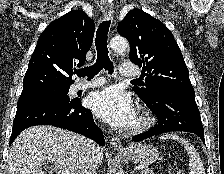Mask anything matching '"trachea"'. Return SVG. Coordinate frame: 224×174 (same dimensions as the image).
<instances>
[{
    "mask_svg": "<svg viewBox=\"0 0 224 174\" xmlns=\"http://www.w3.org/2000/svg\"><path fill=\"white\" fill-rule=\"evenodd\" d=\"M110 23L111 20L103 21L96 32V39H95V46L97 50L96 63L93 66L77 70L76 71L77 76L79 77L87 76L88 79H92L103 68L107 70L110 74L113 73V63L109 59L108 47H107V34L109 31Z\"/></svg>",
    "mask_w": 224,
    "mask_h": 174,
    "instance_id": "trachea-1",
    "label": "trachea"
}]
</instances>
